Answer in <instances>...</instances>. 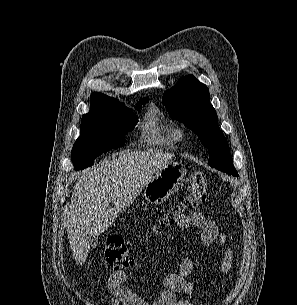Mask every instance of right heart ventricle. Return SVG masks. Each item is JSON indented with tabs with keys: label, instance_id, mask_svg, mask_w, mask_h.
Masks as SVG:
<instances>
[{
	"label": "right heart ventricle",
	"instance_id": "obj_1",
	"mask_svg": "<svg viewBox=\"0 0 297 305\" xmlns=\"http://www.w3.org/2000/svg\"><path fill=\"white\" fill-rule=\"evenodd\" d=\"M175 128L161 122L156 111L151 110L145 116L142 139L150 146L172 148L178 140Z\"/></svg>",
	"mask_w": 297,
	"mask_h": 305
}]
</instances>
